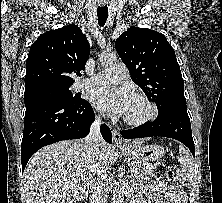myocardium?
<instances>
[{
    "label": "myocardium",
    "mask_w": 222,
    "mask_h": 203,
    "mask_svg": "<svg viewBox=\"0 0 222 203\" xmlns=\"http://www.w3.org/2000/svg\"><path fill=\"white\" fill-rule=\"evenodd\" d=\"M132 98L142 101L148 108V113L140 119H129L124 117V123L129 126L139 127L153 121L158 115L157 106L145 95L136 93Z\"/></svg>",
    "instance_id": "1"
}]
</instances>
